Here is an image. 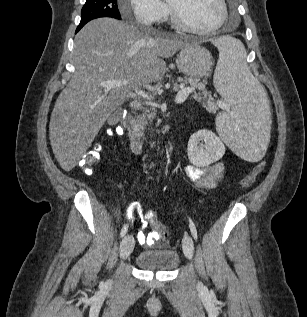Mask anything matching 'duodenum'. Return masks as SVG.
<instances>
[{
	"mask_svg": "<svg viewBox=\"0 0 307 317\" xmlns=\"http://www.w3.org/2000/svg\"><path fill=\"white\" fill-rule=\"evenodd\" d=\"M124 121L129 122V127L125 128L130 140L131 147L134 151H140L145 145L146 139L135 121L134 114L128 113Z\"/></svg>",
	"mask_w": 307,
	"mask_h": 317,
	"instance_id": "duodenum-1",
	"label": "duodenum"
}]
</instances>
